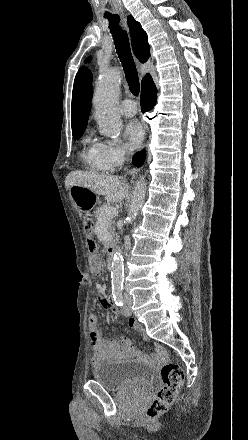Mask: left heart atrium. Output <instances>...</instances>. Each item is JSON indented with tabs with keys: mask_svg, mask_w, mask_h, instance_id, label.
<instances>
[{
	"mask_svg": "<svg viewBox=\"0 0 248 440\" xmlns=\"http://www.w3.org/2000/svg\"><path fill=\"white\" fill-rule=\"evenodd\" d=\"M125 137L131 147H138L144 138V130L137 120L130 121L124 131Z\"/></svg>",
	"mask_w": 248,
	"mask_h": 440,
	"instance_id": "left-heart-atrium-1",
	"label": "left heart atrium"
}]
</instances>
